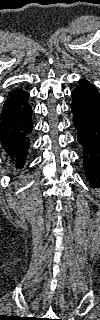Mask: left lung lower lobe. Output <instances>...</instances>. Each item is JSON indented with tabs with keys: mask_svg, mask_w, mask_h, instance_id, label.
<instances>
[{
	"mask_svg": "<svg viewBox=\"0 0 100 320\" xmlns=\"http://www.w3.org/2000/svg\"><path fill=\"white\" fill-rule=\"evenodd\" d=\"M73 123L83 150V166L90 185L100 181V93L86 79L72 91Z\"/></svg>",
	"mask_w": 100,
	"mask_h": 320,
	"instance_id": "1",
	"label": "left lung lower lobe"
}]
</instances>
